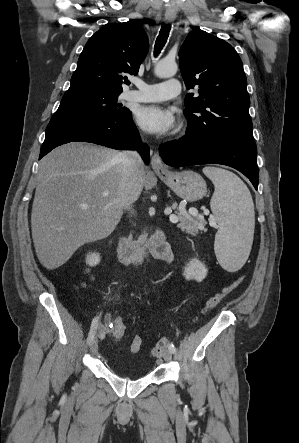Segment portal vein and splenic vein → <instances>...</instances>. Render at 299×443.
I'll list each match as a JSON object with an SVG mask.
<instances>
[{
	"label": "portal vein and splenic vein",
	"mask_w": 299,
	"mask_h": 443,
	"mask_svg": "<svg viewBox=\"0 0 299 443\" xmlns=\"http://www.w3.org/2000/svg\"><path fill=\"white\" fill-rule=\"evenodd\" d=\"M81 208H83V209L88 208V205H87V204H83V205H81ZM171 212H172V210H171L170 208H167V209L164 211V213H165L166 215L171 214ZM191 214H195V212H191ZM169 218H170V221H171L172 223H177V222H178V217H177L176 215L171 214Z\"/></svg>",
	"instance_id": "1"
}]
</instances>
